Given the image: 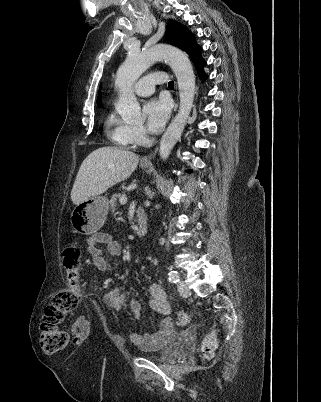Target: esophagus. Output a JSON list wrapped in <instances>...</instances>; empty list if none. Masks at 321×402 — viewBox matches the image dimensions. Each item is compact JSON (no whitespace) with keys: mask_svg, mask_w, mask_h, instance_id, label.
<instances>
[{"mask_svg":"<svg viewBox=\"0 0 321 402\" xmlns=\"http://www.w3.org/2000/svg\"><path fill=\"white\" fill-rule=\"evenodd\" d=\"M176 108H177V105L175 106V109H176ZM156 151H157V149H155L154 151H152L150 154L144 156V157L141 159V162H142L143 164H146V165H151V164H152V159L154 158V156H155V154H156Z\"/></svg>","mask_w":321,"mask_h":402,"instance_id":"34e87169","label":"esophagus"}]
</instances>
